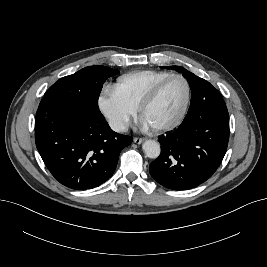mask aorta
<instances>
[{
	"mask_svg": "<svg viewBox=\"0 0 267 267\" xmlns=\"http://www.w3.org/2000/svg\"><path fill=\"white\" fill-rule=\"evenodd\" d=\"M146 156L151 159H156L160 155V144L155 140H146L142 145Z\"/></svg>",
	"mask_w": 267,
	"mask_h": 267,
	"instance_id": "aorta-1",
	"label": "aorta"
}]
</instances>
